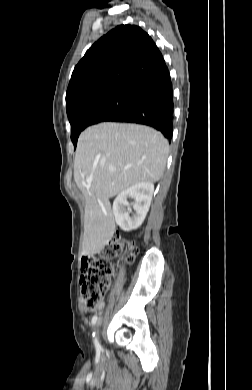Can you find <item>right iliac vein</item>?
Masks as SVG:
<instances>
[{"instance_id":"1","label":"right iliac vein","mask_w":252,"mask_h":390,"mask_svg":"<svg viewBox=\"0 0 252 390\" xmlns=\"http://www.w3.org/2000/svg\"><path fill=\"white\" fill-rule=\"evenodd\" d=\"M99 324H100V322H98V324H97V328H96V333H97V334L99 333V329H98Z\"/></svg>"}]
</instances>
